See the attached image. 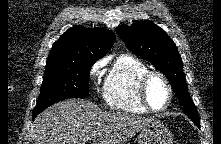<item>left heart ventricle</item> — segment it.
I'll return each instance as SVG.
<instances>
[{"label": "left heart ventricle", "mask_w": 221, "mask_h": 144, "mask_svg": "<svg viewBox=\"0 0 221 144\" xmlns=\"http://www.w3.org/2000/svg\"><path fill=\"white\" fill-rule=\"evenodd\" d=\"M147 98L150 105L155 109L165 106L168 100V90L162 79L153 77L147 85Z\"/></svg>", "instance_id": "obj_1"}]
</instances>
